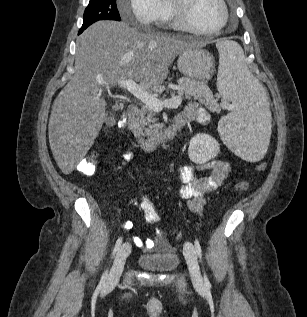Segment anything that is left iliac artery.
<instances>
[{
    "mask_svg": "<svg viewBox=\"0 0 307 317\" xmlns=\"http://www.w3.org/2000/svg\"><path fill=\"white\" fill-rule=\"evenodd\" d=\"M195 249H196V252H197L198 257L201 259V258H202V250H201L200 243H199V241H198L197 239L195 240ZM204 281H205V286H206L207 288H210V287H211V284H210V282H209V280H208L207 275L205 274V272H204Z\"/></svg>",
    "mask_w": 307,
    "mask_h": 317,
    "instance_id": "44dca946",
    "label": "left iliac artery"
}]
</instances>
